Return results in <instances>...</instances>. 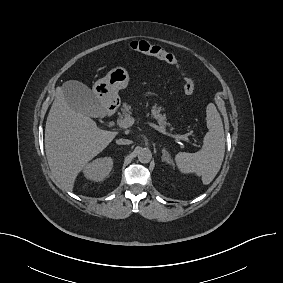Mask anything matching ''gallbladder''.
I'll list each match as a JSON object with an SVG mask.
<instances>
[{
	"label": "gallbladder",
	"mask_w": 283,
	"mask_h": 283,
	"mask_svg": "<svg viewBox=\"0 0 283 283\" xmlns=\"http://www.w3.org/2000/svg\"><path fill=\"white\" fill-rule=\"evenodd\" d=\"M62 91L65 101L76 112L91 117L103 114V107L85 84L69 80L62 85Z\"/></svg>",
	"instance_id": "1"
}]
</instances>
